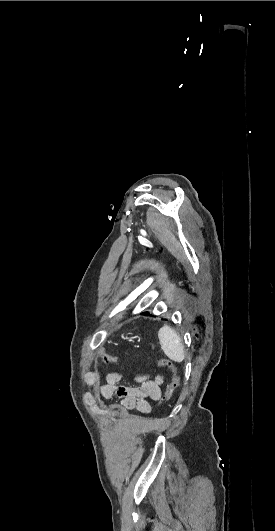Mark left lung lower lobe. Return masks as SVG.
<instances>
[{"label": "left lung lower lobe", "instance_id": "1", "mask_svg": "<svg viewBox=\"0 0 275 531\" xmlns=\"http://www.w3.org/2000/svg\"><path fill=\"white\" fill-rule=\"evenodd\" d=\"M143 314H145V315H149V313H147V312H146V313H143Z\"/></svg>", "mask_w": 275, "mask_h": 531}]
</instances>
